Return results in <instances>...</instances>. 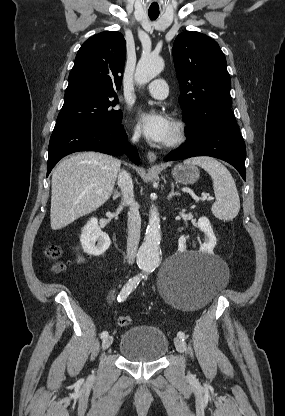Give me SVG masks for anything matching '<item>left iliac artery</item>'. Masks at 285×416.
<instances>
[{
  "instance_id": "1",
  "label": "left iliac artery",
  "mask_w": 285,
  "mask_h": 416,
  "mask_svg": "<svg viewBox=\"0 0 285 416\" xmlns=\"http://www.w3.org/2000/svg\"><path fill=\"white\" fill-rule=\"evenodd\" d=\"M177 336H178L180 339H182L183 341L186 339V335H185V333H184V332H182V331H179V332H178V334H177Z\"/></svg>"
}]
</instances>
